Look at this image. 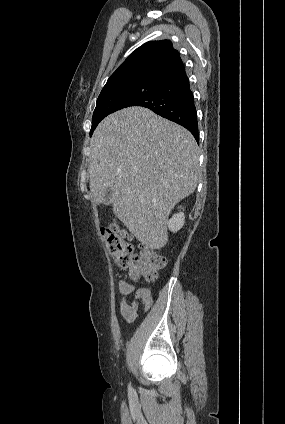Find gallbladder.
<instances>
[{"label": "gallbladder", "mask_w": 285, "mask_h": 424, "mask_svg": "<svg viewBox=\"0 0 285 424\" xmlns=\"http://www.w3.org/2000/svg\"><path fill=\"white\" fill-rule=\"evenodd\" d=\"M111 195H112V189H111V187H108L104 192V204L105 205L110 204Z\"/></svg>", "instance_id": "obj_1"}]
</instances>
